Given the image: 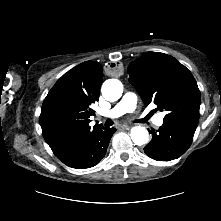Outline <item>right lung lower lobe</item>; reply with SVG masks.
Here are the masks:
<instances>
[{
	"mask_svg": "<svg viewBox=\"0 0 221 221\" xmlns=\"http://www.w3.org/2000/svg\"><path fill=\"white\" fill-rule=\"evenodd\" d=\"M114 128L101 127L95 130L76 149L60 160L67 166L85 169L95 166L105 156Z\"/></svg>",
	"mask_w": 221,
	"mask_h": 221,
	"instance_id": "right-lung-lower-lobe-1",
	"label": "right lung lower lobe"
}]
</instances>
